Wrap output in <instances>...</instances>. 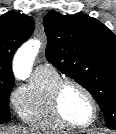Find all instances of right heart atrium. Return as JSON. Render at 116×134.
<instances>
[{
	"label": "right heart atrium",
	"mask_w": 116,
	"mask_h": 134,
	"mask_svg": "<svg viewBox=\"0 0 116 134\" xmlns=\"http://www.w3.org/2000/svg\"><path fill=\"white\" fill-rule=\"evenodd\" d=\"M22 90L17 89L15 91H13L12 93V101L14 102V104L16 105L18 99L20 98L21 94H22Z\"/></svg>",
	"instance_id": "d8ad5b80"
}]
</instances>
